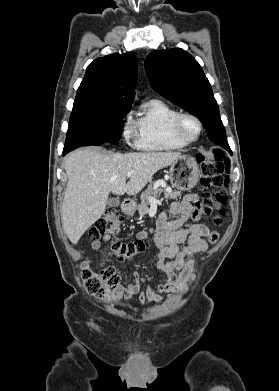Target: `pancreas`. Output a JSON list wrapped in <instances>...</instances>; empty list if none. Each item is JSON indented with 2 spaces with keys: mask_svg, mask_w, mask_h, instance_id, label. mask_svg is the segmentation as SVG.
<instances>
[{
  "mask_svg": "<svg viewBox=\"0 0 279 391\" xmlns=\"http://www.w3.org/2000/svg\"><path fill=\"white\" fill-rule=\"evenodd\" d=\"M161 193H164L165 199H177L181 195L180 191H176V190L168 191L163 188L155 189L154 187L149 186V188L141 194L140 197L141 203L138 204L137 206L139 215L141 217H143L149 212V207H148L150 205L149 197L158 198Z\"/></svg>",
  "mask_w": 279,
  "mask_h": 391,
  "instance_id": "pancreas-1",
  "label": "pancreas"
}]
</instances>
